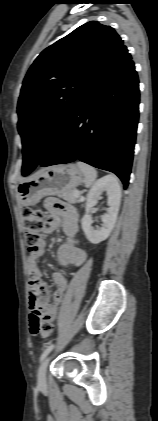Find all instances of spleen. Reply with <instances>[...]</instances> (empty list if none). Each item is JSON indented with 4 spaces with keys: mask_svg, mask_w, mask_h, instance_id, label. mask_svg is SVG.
<instances>
[{
    "mask_svg": "<svg viewBox=\"0 0 158 421\" xmlns=\"http://www.w3.org/2000/svg\"><path fill=\"white\" fill-rule=\"evenodd\" d=\"M78 168L81 170L85 177V186L91 187L94 185L96 178H97V171L92 166L85 164L83 162H77Z\"/></svg>",
    "mask_w": 158,
    "mask_h": 421,
    "instance_id": "spleen-1",
    "label": "spleen"
}]
</instances>
